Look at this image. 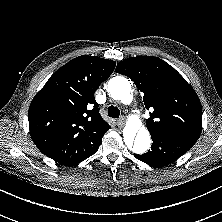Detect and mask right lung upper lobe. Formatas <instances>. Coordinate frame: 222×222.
I'll list each match as a JSON object with an SVG mask.
<instances>
[{
    "mask_svg": "<svg viewBox=\"0 0 222 222\" xmlns=\"http://www.w3.org/2000/svg\"><path fill=\"white\" fill-rule=\"evenodd\" d=\"M115 65L96 56H80L49 78L28 113L31 138L42 153L58 163L73 165L102 143L110 126L99 114L94 93Z\"/></svg>",
    "mask_w": 222,
    "mask_h": 222,
    "instance_id": "1",
    "label": "right lung upper lobe"
}]
</instances>
